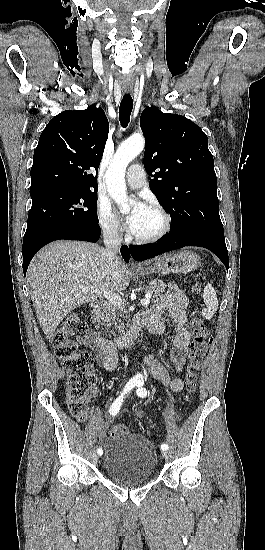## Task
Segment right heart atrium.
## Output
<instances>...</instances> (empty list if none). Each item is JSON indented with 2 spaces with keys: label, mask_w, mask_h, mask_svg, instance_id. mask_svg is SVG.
Returning <instances> with one entry per match:
<instances>
[{
  "label": "right heart atrium",
  "mask_w": 265,
  "mask_h": 550,
  "mask_svg": "<svg viewBox=\"0 0 265 550\" xmlns=\"http://www.w3.org/2000/svg\"><path fill=\"white\" fill-rule=\"evenodd\" d=\"M96 211L97 221L101 230L107 236L114 238L119 237L123 232V226L110 203L106 200H99Z\"/></svg>",
  "instance_id": "d8ad5b80"
}]
</instances>
